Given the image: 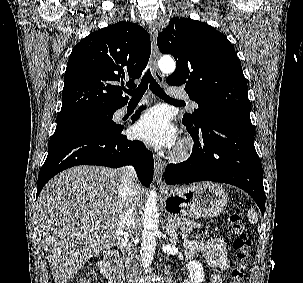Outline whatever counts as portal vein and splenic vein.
I'll use <instances>...</instances> for the list:
<instances>
[{
	"instance_id": "1",
	"label": "portal vein and splenic vein",
	"mask_w": 303,
	"mask_h": 283,
	"mask_svg": "<svg viewBox=\"0 0 303 283\" xmlns=\"http://www.w3.org/2000/svg\"><path fill=\"white\" fill-rule=\"evenodd\" d=\"M172 226L174 227V226H176V224L173 223Z\"/></svg>"
}]
</instances>
